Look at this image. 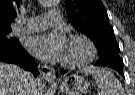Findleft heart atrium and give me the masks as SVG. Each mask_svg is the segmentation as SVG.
<instances>
[{
	"label": "left heart atrium",
	"mask_w": 135,
	"mask_h": 95,
	"mask_svg": "<svg viewBox=\"0 0 135 95\" xmlns=\"http://www.w3.org/2000/svg\"><path fill=\"white\" fill-rule=\"evenodd\" d=\"M68 41L60 32H47L30 37L27 49L37 57L48 61L64 60Z\"/></svg>",
	"instance_id": "39dd6f15"
}]
</instances>
